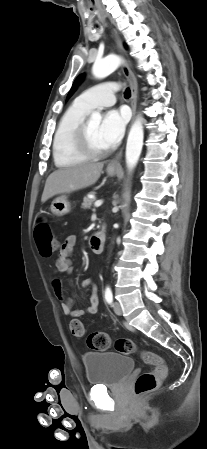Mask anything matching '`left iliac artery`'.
Listing matches in <instances>:
<instances>
[{
    "label": "left iliac artery",
    "instance_id": "left-iliac-artery-1",
    "mask_svg": "<svg viewBox=\"0 0 207 449\" xmlns=\"http://www.w3.org/2000/svg\"><path fill=\"white\" fill-rule=\"evenodd\" d=\"M104 296L106 302L111 305L113 302V294L110 287H106Z\"/></svg>",
    "mask_w": 207,
    "mask_h": 449
}]
</instances>
